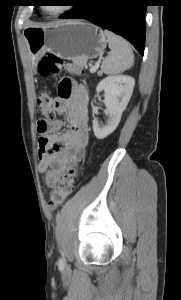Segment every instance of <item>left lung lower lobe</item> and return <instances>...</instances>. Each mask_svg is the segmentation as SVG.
Returning <instances> with one entry per match:
<instances>
[{
  "instance_id": "1",
  "label": "left lung lower lobe",
  "mask_w": 181,
  "mask_h": 300,
  "mask_svg": "<svg viewBox=\"0 0 181 300\" xmlns=\"http://www.w3.org/2000/svg\"><path fill=\"white\" fill-rule=\"evenodd\" d=\"M62 18H83L127 39L141 54L145 48L144 0H80Z\"/></svg>"
}]
</instances>
